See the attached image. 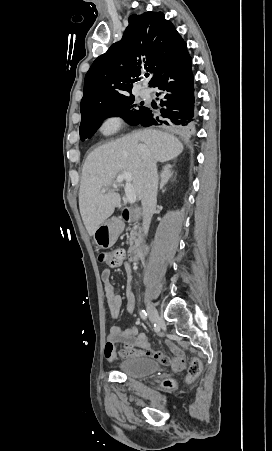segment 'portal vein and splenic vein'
Returning a JSON list of instances; mask_svg holds the SVG:
<instances>
[{
    "label": "portal vein and splenic vein",
    "instance_id": "18ae733b",
    "mask_svg": "<svg viewBox=\"0 0 272 451\" xmlns=\"http://www.w3.org/2000/svg\"><path fill=\"white\" fill-rule=\"evenodd\" d=\"M132 178H133V176H132L131 172H122V174H119V176H117L116 182H115V184H113V188H117V184H121V182H123V180H126L125 194H126L127 202H129V204H135V202H136V194H135L134 188L131 184ZM101 192H103V194H105L106 188H102Z\"/></svg>",
    "mask_w": 272,
    "mask_h": 451
}]
</instances>
